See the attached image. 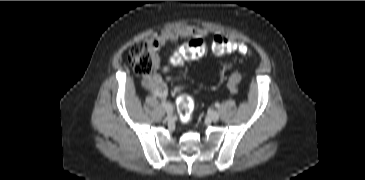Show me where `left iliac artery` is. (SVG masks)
Listing matches in <instances>:
<instances>
[{"label": "left iliac artery", "mask_w": 365, "mask_h": 180, "mask_svg": "<svg viewBox=\"0 0 365 180\" xmlns=\"http://www.w3.org/2000/svg\"><path fill=\"white\" fill-rule=\"evenodd\" d=\"M215 106H216L217 108H219V107H220V104H219V103H216V104H215Z\"/></svg>", "instance_id": "44dca946"}]
</instances>
